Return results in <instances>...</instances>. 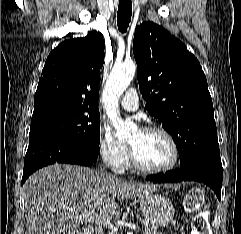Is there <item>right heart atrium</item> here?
Wrapping results in <instances>:
<instances>
[{
    "label": "right heart atrium",
    "instance_id": "d8ad5b80",
    "mask_svg": "<svg viewBox=\"0 0 241 234\" xmlns=\"http://www.w3.org/2000/svg\"><path fill=\"white\" fill-rule=\"evenodd\" d=\"M97 148L100 157L114 171H120L128 155V147L119 141L112 129L107 125H101L98 130Z\"/></svg>",
    "mask_w": 241,
    "mask_h": 234
}]
</instances>
